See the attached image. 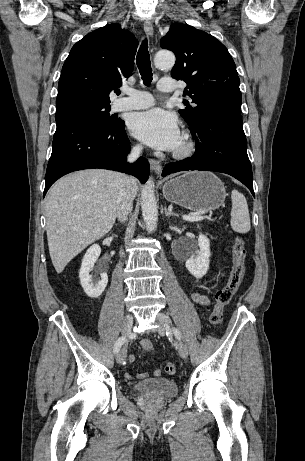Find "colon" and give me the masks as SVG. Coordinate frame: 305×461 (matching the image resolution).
<instances>
[{
	"label": "colon",
	"instance_id": "obj_1",
	"mask_svg": "<svg viewBox=\"0 0 305 461\" xmlns=\"http://www.w3.org/2000/svg\"><path fill=\"white\" fill-rule=\"evenodd\" d=\"M246 250L241 237H236L233 244V268L227 283L216 293L215 305L209 316L212 326H218L222 321L223 310L237 292L245 273ZM165 371L168 374L176 373V365L167 363Z\"/></svg>",
	"mask_w": 305,
	"mask_h": 461
}]
</instances>
